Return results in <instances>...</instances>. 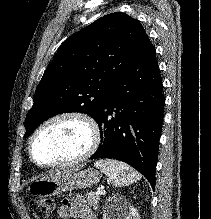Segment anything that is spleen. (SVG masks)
I'll use <instances>...</instances> for the list:
<instances>
[{
    "label": "spleen",
    "mask_w": 211,
    "mask_h": 219,
    "mask_svg": "<svg viewBox=\"0 0 211 219\" xmlns=\"http://www.w3.org/2000/svg\"><path fill=\"white\" fill-rule=\"evenodd\" d=\"M94 166L106 174L116 187L128 186L141 179V175L133 168L116 160H98Z\"/></svg>",
    "instance_id": "1"
}]
</instances>
